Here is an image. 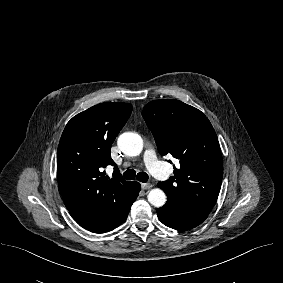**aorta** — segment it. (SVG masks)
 I'll return each instance as SVG.
<instances>
[{
	"label": "aorta",
	"instance_id": "aorta-1",
	"mask_svg": "<svg viewBox=\"0 0 283 283\" xmlns=\"http://www.w3.org/2000/svg\"><path fill=\"white\" fill-rule=\"evenodd\" d=\"M118 147L127 156H138L143 149L142 138L132 132H125L118 138ZM148 201L155 207H162L166 203V195L163 190L155 188L150 190Z\"/></svg>",
	"mask_w": 283,
	"mask_h": 283
}]
</instances>
